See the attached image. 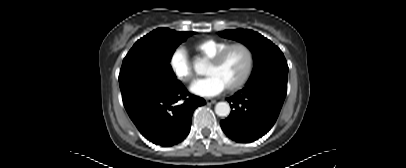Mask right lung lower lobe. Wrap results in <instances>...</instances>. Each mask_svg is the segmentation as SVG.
<instances>
[{
	"label": "right lung lower lobe",
	"instance_id": "obj_1",
	"mask_svg": "<svg viewBox=\"0 0 406 168\" xmlns=\"http://www.w3.org/2000/svg\"><path fill=\"white\" fill-rule=\"evenodd\" d=\"M184 99L182 104H176ZM203 98L189 95L178 81L175 85L152 96L139 100L127 112L140 133L154 144L172 146L189 133L192 115Z\"/></svg>",
	"mask_w": 406,
	"mask_h": 168
}]
</instances>
